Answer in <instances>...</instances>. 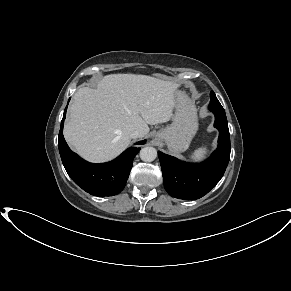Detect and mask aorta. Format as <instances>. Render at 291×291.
<instances>
[{
  "instance_id": "762f6f07",
  "label": "aorta",
  "mask_w": 291,
  "mask_h": 291,
  "mask_svg": "<svg viewBox=\"0 0 291 291\" xmlns=\"http://www.w3.org/2000/svg\"><path fill=\"white\" fill-rule=\"evenodd\" d=\"M157 157V150L153 147H144L140 150V158L145 162H151Z\"/></svg>"
}]
</instances>
